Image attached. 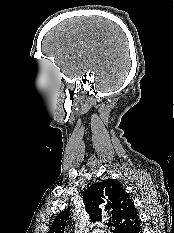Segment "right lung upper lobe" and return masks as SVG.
Returning <instances> with one entry per match:
<instances>
[{
  "label": "right lung upper lobe",
  "instance_id": "cb5924a9",
  "mask_svg": "<svg viewBox=\"0 0 174 233\" xmlns=\"http://www.w3.org/2000/svg\"><path fill=\"white\" fill-rule=\"evenodd\" d=\"M85 210L92 220L109 218L115 227L113 233H129L140 225V219L129 194L121 183L114 179H106L94 183L83 196ZM62 211L54 219L48 233H64L69 211Z\"/></svg>",
  "mask_w": 174,
  "mask_h": 233
}]
</instances>
